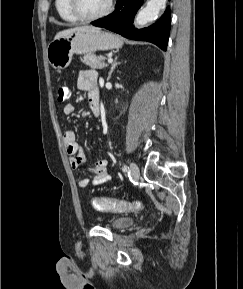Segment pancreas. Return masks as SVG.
Here are the masks:
<instances>
[{
	"instance_id": "1",
	"label": "pancreas",
	"mask_w": 243,
	"mask_h": 289,
	"mask_svg": "<svg viewBox=\"0 0 243 289\" xmlns=\"http://www.w3.org/2000/svg\"><path fill=\"white\" fill-rule=\"evenodd\" d=\"M81 60L84 64L90 66L92 69H103L107 67V64L105 63L106 58L101 55L96 56L92 53L85 54Z\"/></svg>"
}]
</instances>
